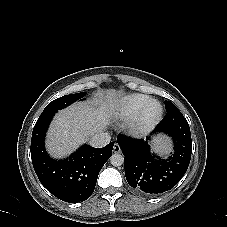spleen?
<instances>
[{"instance_id": "1", "label": "spleen", "mask_w": 227, "mask_h": 227, "mask_svg": "<svg viewBox=\"0 0 227 227\" xmlns=\"http://www.w3.org/2000/svg\"><path fill=\"white\" fill-rule=\"evenodd\" d=\"M151 148L156 156L167 158L173 154L175 150V142L170 135L159 133L153 137Z\"/></svg>"}]
</instances>
